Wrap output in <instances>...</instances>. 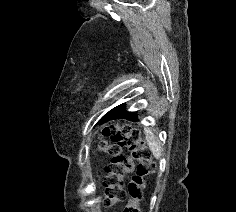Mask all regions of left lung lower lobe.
Returning a JSON list of instances; mask_svg holds the SVG:
<instances>
[{"label": "left lung lower lobe", "mask_w": 236, "mask_h": 212, "mask_svg": "<svg viewBox=\"0 0 236 212\" xmlns=\"http://www.w3.org/2000/svg\"><path fill=\"white\" fill-rule=\"evenodd\" d=\"M124 104L116 106L107 112L98 122V124H102L108 120H113L117 118H124L127 120H137V115L134 112H129L124 109Z\"/></svg>", "instance_id": "obj_1"}]
</instances>
